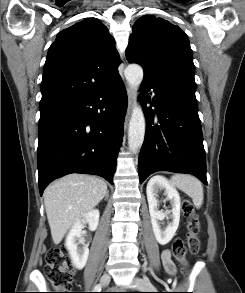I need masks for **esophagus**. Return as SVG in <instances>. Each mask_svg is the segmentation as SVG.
<instances>
[{
  "label": "esophagus",
  "mask_w": 245,
  "mask_h": 293,
  "mask_svg": "<svg viewBox=\"0 0 245 293\" xmlns=\"http://www.w3.org/2000/svg\"><path fill=\"white\" fill-rule=\"evenodd\" d=\"M127 94H128V108H127L125 124H127V122H128V119H129L130 113H131V109H132L133 103L135 101V93L131 87H127Z\"/></svg>",
  "instance_id": "1"
}]
</instances>
